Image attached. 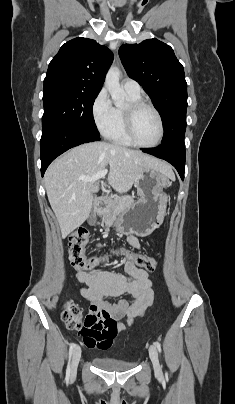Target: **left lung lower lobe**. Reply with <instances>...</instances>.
<instances>
[{
  "mask_svg": "<svg viewBox=\"0 0 235 404\" xmlns=\"http://www.w3.org/2000/svg\"><path fill=\"white\" fill-rule=\"evenodd\" d=\"M143 152L154 155L171 163L178 171L181 179H184L185 169V145L184 139H177L162 144L157 148L142 149Z\"/></svg>",
  "mask_w": 235,
  "mask_h": 404,
  "instance_id": "obj_1",
  "label": "left lung lower lobe"
}]
</instances>
